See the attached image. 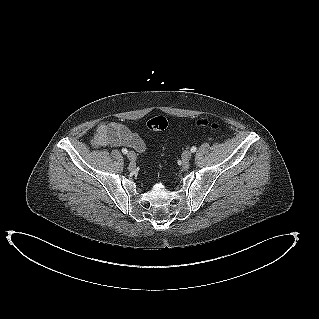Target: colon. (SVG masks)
I'll return each mask as SVG.
<instances>
[{
    "label": "colon",
    "mask_w": 319,
    "mask_h": 319,
    "mask_svg": "<svg viewBox=\"0 0 319 319\" xmlns=\"http://www.w3.org/2000/svg\"><path fill=\"white\" fill-rule=\"evenodd\" d=\"M196 125L199 127H208L212 130H219L221 127L218 122L209 121L204 118L197 120ZM147 126L153 131H161L167 128L168 121L163 116H156L148 120Z\"/></svg>",
    "instance_id": "1"
}]
</instances>
